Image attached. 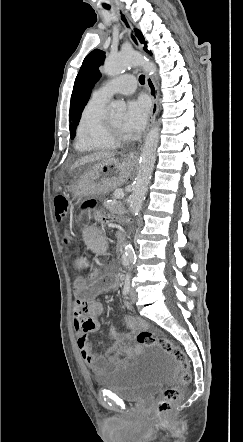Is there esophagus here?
Instances as JSON below:
<instances>
[{
  "label": "esophagus",
  "mask_w": 243,
  "mask_h": 442,
  "mask_svg": "<svg viewBox=\"0 0 243 442\" xmlns=\"http://www.w3.org/2000/svg\"><path fill=\"white\" fill-rule=\"evenodd\" d=\"M118 14H119L127 32H128V36H129V39L132 42V44L138 50H142V45L139 42V40L137 39L136 35L134 34L132 25L121 8H118ZM146 85H147V89L149 91V95H150L151 101H152L150 117H149V122H148V129H149L154 122V119H155V116L157 113V109H158V103H157L156 87H155L154 81L152 80V78L149 75H146ZM138 158H139V150L135 151L129 155V160L132 162L137 161Z\"/></svg>",
  "instance_id": "esophagus-1"
}]
</instances>
